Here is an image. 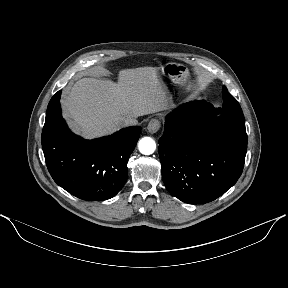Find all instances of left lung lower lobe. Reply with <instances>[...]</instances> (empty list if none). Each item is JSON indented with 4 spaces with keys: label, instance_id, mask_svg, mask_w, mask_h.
<instances>
[{
    "label": "left lung lower lobe",
    "instance_id": "1",
    "mask_svg": "<svg viewBox=\"0 0 288 288\" xmlns=\"http://www.w3.org/2000/svg\"><path fill=\"white\" fill-rule=\"evenodd\" d=\"M246 152L245 121L206 101L184 104L167 116L159 140L163 182L183 202H211L237 182Z\"/></svg>",
    "mask_w": 288,
    "mask_h": 288
}]
</instances>
